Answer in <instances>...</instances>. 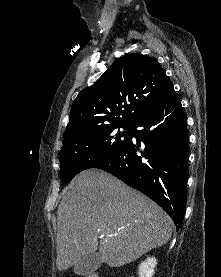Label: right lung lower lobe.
<instances>
[{"instance_id":"98d812e1","label":"right lung lower lobe","mask_w":221,"mask_h":277,"mask_svg":"<svg viewBox=\"0 0 221 277\" xmlns=\"http://www.w3.org/2000/svg\"><path fill=\"white\" fill-rule=\"evenodd\" d=\"M132 129L136 142L131 138L126 146L92 168L105 170L147 195L171 216L179 230L186 207L189 136L174 89L143 112Z\"/></svg>"}]
</instances>
